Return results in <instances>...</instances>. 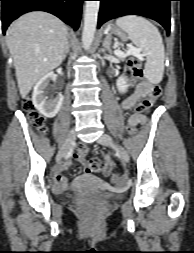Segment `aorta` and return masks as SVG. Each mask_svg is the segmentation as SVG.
<instances>
[{"instance_id":"aorta-1","label":"aorta","mask_w":194,"mask_h":253,"mask_svg":"<svg viewBox=\"0 0 194 253\" xmlns=\"http://www.w3.org/2000/svg\"><path fill=\"white\" fill-rule=\"evenodd\" d=\"M100 1H86L84 10V27L82 33V42L85 50H89L97 26Z\"/></svg>"}]
</instances>
